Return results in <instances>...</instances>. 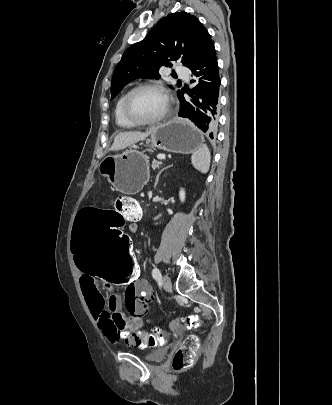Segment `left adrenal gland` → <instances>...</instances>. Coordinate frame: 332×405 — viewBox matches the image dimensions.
<instances>
[{
  "label": "left adrenal gland",
  "mask_w": 332,
  "mask_h": 405,
  "mask_svg": "<svg viewBox=\"0 0 332 405\" xmlns=\"http://www.w3.org/2000/svg\"><path fill=\"white\" fill-rule=\"evenodd\" d=\"M170 167H171V166H168V167L163 168L162 170H160V172L158 173V175H157V177H156L154 187H156V186H157V184H158L160 174H161V173H162L164 170H166L167 168H170Z\"/></svg>",
  "instance_id": "left-adrenal-gland-1"
}]
</instances>
